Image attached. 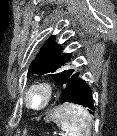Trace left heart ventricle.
Here are the masks:
<instances>
[{
	"instance_id": "1",
	"label": "left heart ventricle",
	"mask_w": 117,
	"mask_h": 136,
	"mask_svg": "<svg viewBox=\"0 0 117 136\" xmlns=\"http://www.w3.org/2000/svg\"><path fill=\"white\" fill-rule=\"evenodd\" d=\"M30 103L34 106H38L42 102V95L40 92H33L29 96Z\"/></svg>"
}]
</instances>
